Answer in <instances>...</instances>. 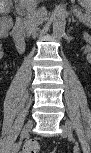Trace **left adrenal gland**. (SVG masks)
Segmentation results:
<instances>
[{"label":"left adrenal gland","instance_id":"obj_1","mask_svg":"<svg viewBox=\"0 0 91 153\" xmlns=\"http://www.w3.org/2000/svg\"><path fill=\"white\" fill-rule=\"evenodd\" d=\"M72 21H73V22H76V20H75L74 18H72Z\"/></svg>","mask_w":91,"mask_h":153}]
</instances>
